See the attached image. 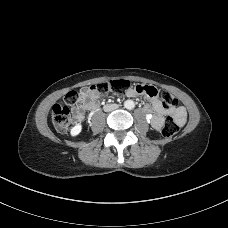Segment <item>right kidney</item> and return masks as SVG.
Returning <instances> with one entry per match:
<instances>
[{"mask_svg":"<svg viewBox=\"0 0 228 228\" xmlns=\"http://www.w3.org/2000/svg\"><path fill=\"white\" fill-rule=\"evenodd\" d=\"M82 131V125L81 124H76L74 127H72L70 134L71 136L75 137L79 135Z\"/></svg>","mask_w":228,"mask_h":228,"instance_id":"right-kidney-1","label":"right kidney"}]
</instances>
